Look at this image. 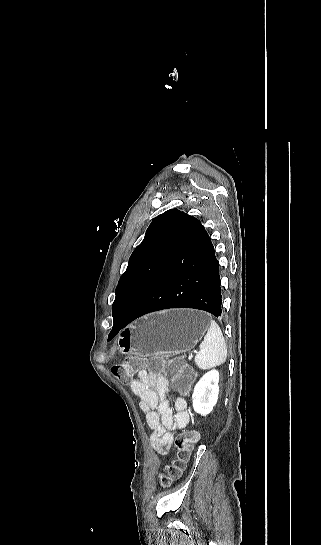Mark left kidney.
<instances>
[{"instance_id":"left-kidney-1","label":"left kidney","mask_w":321,"mask_h":545,"mask_svg":"<svg viewBox=\"0 0 321 545\" xmlns=\"http://www.w3.org/2000/svg\"><path fill=\"white\" fill-rule=\"evenodd\" d=\"M219 373L218 371H209L201 377L193 391V409L200 413L202 417L209 415L213 411L218 401L219 395Z\"/></svg>"}]
</instances>
